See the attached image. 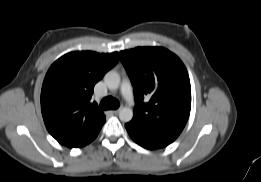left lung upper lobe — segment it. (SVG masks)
<instances>
[{"mask_svg":"<svg viewBox=\"0 0 261 182\" xmlns=\"http://www.w3.org/2000/svg\"><path fill=\"white\" fill-rule=\"evenodd\" d=\"M120 59L134 87L132 126L143 133L176 139L191 109L190 80L182 61L163 47L121 51Z\"/></svg>","mask_w":261,"mask_h":182,"instance_id":"5c2ea615","label":"left lung upper lobe"}]
</instances>
